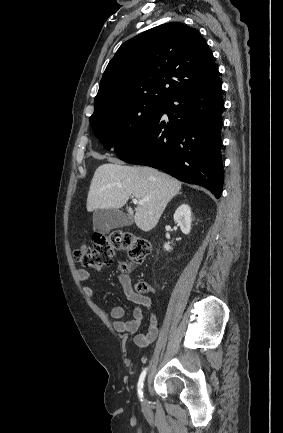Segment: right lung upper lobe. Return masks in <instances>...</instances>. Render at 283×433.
<instances>
[{
	"instance_id": "right-lung-upper-lobe-1",
	"label": "right lung upper lobe",
	"mask_w": 283,
	"mask_h": 433,
	"mask_svg": "<svg viewBox=\"0 0 283 433\" xmlns=\"http://www.w3.org/2000/svg\"><path fill=\"white\" fill-rule=\"evenodd\" d=\"M218 76L212 52L196 29L162 24L120 46L101 79L94 114L133 102L164 103Z\"/></svg>"
}]
</instances>
